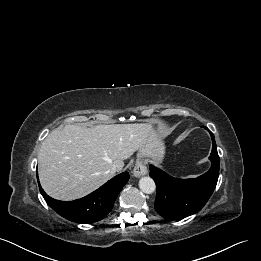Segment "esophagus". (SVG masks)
Wrapping results in <instances>:
<instances>
[{
  "label": "esophagus",
  "mask_w": 261,
  "mask_h": 261,
  "mask_svg": "<svg viewBox=\"0 0 261 261\" xmlns=\"http://www.w3.org/2000/svg\"><path fill=\"white\" fill-rule=\"evenodd\" d=\"M146 174H147V167L141 160H137L133 168V175L139 178Z\"/></svg>",
  "instance_id": "esophagus-1"
}]
</instances>
